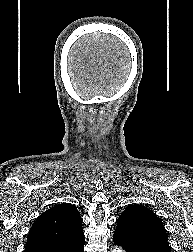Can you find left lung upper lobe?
Returning <instances> with one entry per match:
<instances>
[{"mask_svg": "<svg viewBox=\"0 0 193 252\" xmlns=\"http://www.w3.org/2000/svg\"><path fill=\"white\" fill-rule=\"evenodd\" d=\"M127 241L157 239L168 241L162 221L142 205H130L117 220L115 232Z\"/></svg>", "mask_w": 193, "mask_h": 252, "instance_id": "left-lung-upper-lobe-1", "label": "left lung upper lobe"}]
</instances>
